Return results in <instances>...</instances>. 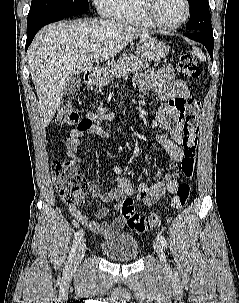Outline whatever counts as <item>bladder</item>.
<instances>
[{"mask_svg": "<svg viewBox=\"0 0 239 303\" xmlns=\"http://www.w3.org/2000/svg\"><path fill=\"white\" fill-rule=\"evenodd\" d=\"M104 256L112 261L132 262L138 258L139 242L129 233H119L101 244Z\"/></svg>", "mask_w": 239, "mask_h": 303, "instance_id": "31cf9c89", "label": "bladder"}]
</instances>
